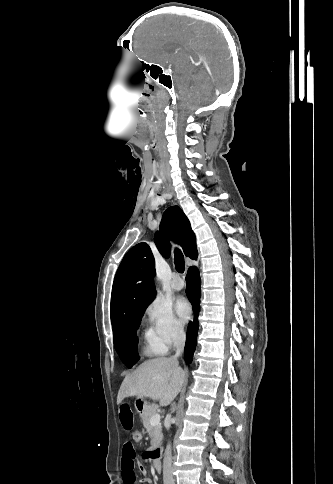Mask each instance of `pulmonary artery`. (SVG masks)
Masks as SVG:
<instances>
[{
    "label": "pulmonary artery",
    "instance_id": "obj_1",
    "mask_svg": "<svg viewBox=\"0 0 333 484\" xmlns=\"http://www.w3.org/2000/svg\"><path fill=\"white\" fill-rule=\"evenodd\" d=\"M171 287L177 291L181 290L184 287V281L182 280L179 274L175 273L173 275V278L171 281Z\"/></svg>",
    "mask_w": 333,
    "mask_h": 484
}]
</instances>
